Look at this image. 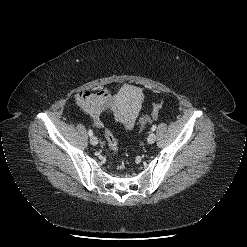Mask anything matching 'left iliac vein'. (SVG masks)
Segmentation results:
<instances>
[{"mask_svg":"<svg viewBox=\"0 0 247 247\" xmlns=\"http://www.w3.org/2000/svg\"><path fill=\"white\" fill-rule=\"evenodd\" d=\"M156 140V135L154 132H151L147 138L149 144H153Z\"/></svg>","mask_w":247,"mask_h":247,"instance_id":"obj_1","label":"left iliac vein"}]
</instances>
